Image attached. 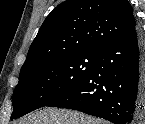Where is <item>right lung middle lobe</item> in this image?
I'll use <instances>...</instances> for the list:
<instances>
[{
  "mask_svg": "<svg viewBox=\"0 0 145 124\" xmlns=\"http://www.w3.org/2000/svg\"><path fill=\"white\" fill-rule=\"evenodd\" d=\"M98 53H77L49 60L19 77L13 93L11 119L46 106L83 80Z\"/></svg>",
  "mask_w": 145,
  "mask_h": 124,
  "instance_id": "obj_1",
  "label": "right lung middle lobe"
}]
</instances>
